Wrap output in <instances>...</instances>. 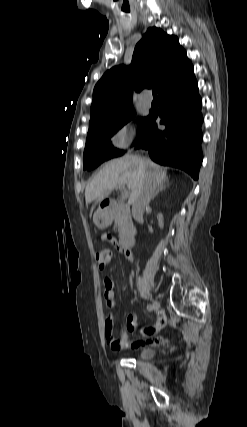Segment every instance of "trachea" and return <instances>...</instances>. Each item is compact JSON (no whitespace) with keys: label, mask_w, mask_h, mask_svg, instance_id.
Segmentation results:
<instances>
[{"label":"trachea","mask_w":247,"mask_h":427,"mask_svg":"<svg viewBox=\"0 0 247 427\" xmlns=\"http://www.w3.org/2000/svg\"><path fill=\"white\" fill-rule=\"evenodd\" d=\"M152 94H153V97H154V98H157V91H156V89H153V90H152Z\"/></svg>","instance_id":"1"}]
</instances>
